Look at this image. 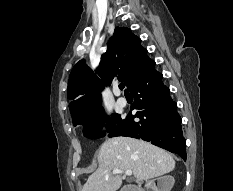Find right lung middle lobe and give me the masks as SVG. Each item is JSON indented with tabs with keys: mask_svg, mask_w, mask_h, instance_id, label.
I'll list each match as a JSON object with an SVG mask.
<instances>
[{
	"mask_svg": "<svg viewBox=\"0 0 233 191\" xmlns=\"http://www.w3.org/2000/svg\"><path fill=\"white\" fill-rule=\"evenodd\" d=\"M105 118L103 115V109L101 106H98L94 109L82 112L74 117L73 124L83 125V134L87 138L96 139L102 136L100 131V121ZM115 123H119L121 121L120 115L115 114L112 116ZM113 125H110V129H113Z\"/></svg>",
	"mask_w": 233,
	"mask_h": 191,
	"instance_id": "right-lung-middle-lobe-1",
	"label": "right lung middle lobe"
}]
</instances>
